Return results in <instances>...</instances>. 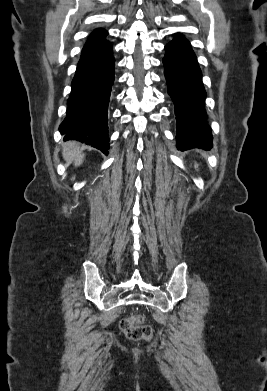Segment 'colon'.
<instances>
[{
  "mask_svg": "<svg viewBox=\"0 0 267 391\" xmlns=\"http://www.w3.org/2000/svg\"><path fill=\"white\" fill-rule=\"evenodd\" d=\"M123 333L133 340L148 339L152 336V328L142 324L140 316L125 318L120 323Z\"/></svg>",
  "mask_w": 267,
  "mask_h": 391,
  "instance_id": "5ec220e1",
  "label": "colon"
}]
</instances>
